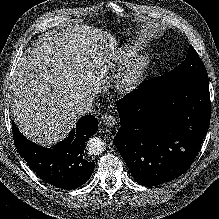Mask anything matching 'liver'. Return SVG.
I'll return each mask as SVG.
<instances>
[{
  "label": "liver",
  "mask_w": 219,
  "mask_h": 219,
  "mask_svg": "<svg viewBox=\"0 0 219 219\" xmlns=\"http://www.w3.org/2000/svg\"><path fill=\"white\" fill-rule=\"evenodd\" d=\"M115 43L102 29L76 24L44 37L21 56L9 100L28 139L51 146L66 138L78 121L74 106L97 93L107 78L102 57Z\"/></svg>",
  "instance_id": "1"
}]
</instances>
